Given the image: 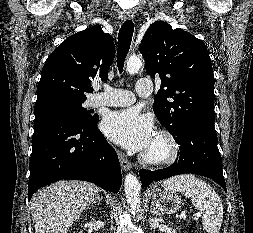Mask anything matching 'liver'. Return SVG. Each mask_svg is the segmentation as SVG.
Masks as SVG:
<instances>
[{
    "instance_id": "1",
    "label": "liver",
    "mask_w": 253,
    "mask_h": 233,
    "mask_svg": "<svg viewBox=\"0 0 253 233\" xmlns=\"http://www.w3.org/2000/svg\"><path fill=\"white\" fill-rule=\"evenodd\" d=\"M98 196L99 188L84 181H58L38 191L30 203L35 233H67Z\"/></svg>"
}]
</instances>
